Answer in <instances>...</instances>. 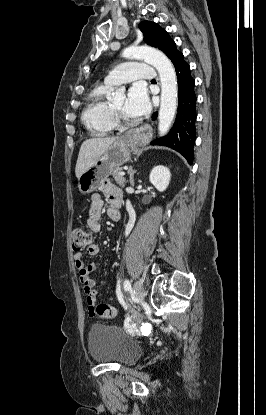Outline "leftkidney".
I'll use <instances>...</instances> for the list:
<instances>
[{"instance_id":"obj_1","label":"left kidney","mask_w":266,"mask_h":415,"mask_svg":"<svg viewBox=\"0 0 266 415\" xmlns=\"http://www.w3.org/2000/svg\"><path fill=\"white\" fill-rule=\"evenodd\" d=\"M170 179V170L162 165L154 167L149 176L151 184H153L155 188L160 192H163L167 189Z\"/></svg>"}]
</instances>
